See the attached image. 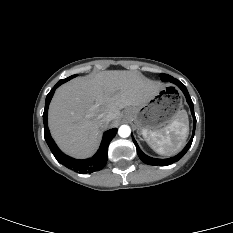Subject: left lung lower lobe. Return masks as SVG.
Instances as JSON below:
<instances>
[{"label": "left lung lower lobe", "instance_id": "obj_1", "mask_svg": "<svg viewBox=\"0 0 233 233\" xmlns=\"http://www.w3.org/2000/svg\"><path fill=\"white\" fill-rule=\"evenodd\" d=\"M169 81L174 83L175 85H177L182 90V92L184 93V95L186 97V100H187V102H188V104L190 106L191 113H192L193 120H194V122H193V134H192V137H191L190 141L185 146V148L178 155H176L174 157H171V158H168V159H157V158H152V157L147 156L139 148L136 140L134 139V137L132 135V139H133V142H134V144L136 146L138 156L140 157V159L144 163H146L148 165H160V166L165 165L166 166V165L173 164L174 162H177L178 160H180L185 155V153L188 151V149L190 148V146L192 144V141H193V137H194V133H195V127H196V118H195V114H194L193 102H192V100L190 98V95H189V93L187 91V88L185 87L184 84H182L179 80H177V79H175L173 77Z\"/></svg>", "mask_w": 233, "mask_h": 233}]
</instances>
